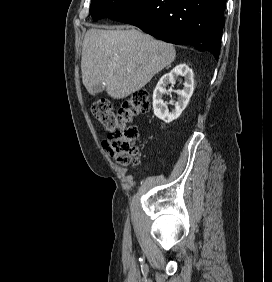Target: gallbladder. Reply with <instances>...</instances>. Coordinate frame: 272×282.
Segmentation results:
<instances>
[{
	"label": "gallbladder",
	"instance_id": "1",
	"mask_svg": "<svg viewBox=\"0 0 272 282\" xmlns=\"http://www.w3.org/2000/svg\"><path fill=\"white\" fill-rule=\"evenodd\" d=\"M93 90H94L95 93H100L102 91L101 85L94 86Z\"/></svg>",
	"mask_w": 272,
	"mask_h": 282
}]
</instances>
